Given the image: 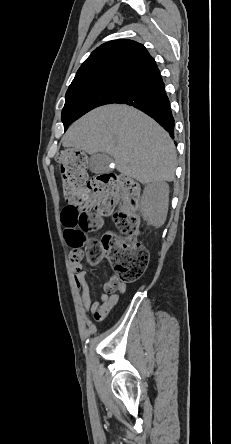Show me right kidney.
Returning <instances> with one entry per match:
<instances>
[{"label": "right kidney", "mask_w": 231, "mask_h": 444, "mask_svg": "<svg viewBox=\"0 0 231 444\" xmlns=\"http://www.w3.org/2000/svg\"><path fill=\"white\" fill-rule=\"evenodd\" d=\"M169 203V186L165 182L145 186L141 198L143 219L155 227H160L166 220Z\"/></svg>", "instance_id": "obj_1"}]
</instances>
